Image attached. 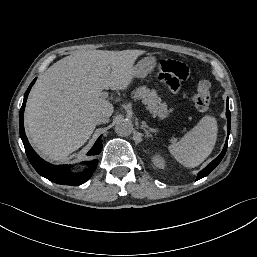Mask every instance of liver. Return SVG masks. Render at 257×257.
Masks as SVG:
<instances>
[{"label":"liver","mask_w":257,"mask_h":257,"mask_svg":"<svg viewBox=\"0 0 257 257\" xmlns=\"http://www.w3.org/2000/svg\"><path fill=\"white\" fill-rule=\"evenodd\" d=\"M143 50H89L66 56L37 80L27 100L25 128L36 149L60 161L92 135L96 117L112 115L104 89L125 90Z\"/></svg>","instance_id":"1"}]
</instances>
